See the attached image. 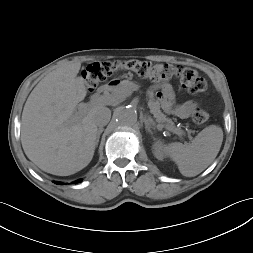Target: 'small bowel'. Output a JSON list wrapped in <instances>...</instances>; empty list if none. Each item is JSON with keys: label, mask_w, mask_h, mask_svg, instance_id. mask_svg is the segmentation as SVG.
Segmentation results:
<instances>
[{"label": "small bowel", "mask_w": 253, "mask_h": 253, "mask_svg": "<svg viewBox=\"0 0 253 253\" xmlns=\"http://www.w3.org/2000/svg\"><path fill=\"white\" fill-rule=\"evenodd\" d=\"M150 96L156 97L165 111L182 119L188 118L198 107V103L192 100L176 103L174 90L169 83L154 84Z\"/></svg>", "instance_id": "1"}]
</instances>
